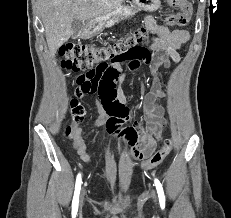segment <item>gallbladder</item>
Masks as SVG:
<instances>
[{
	"label": "gallbladder",
	"instance_id": "obj_1",
	"mask_svg": "<svg viewBox=\"0 0 231 218\" xmlns=\"http://www.w3.org/2000/svg\"><path fill=\"white\" fill-rule=\"evenodd\" d=\"M84 27V21L75 18L72 21L73 38H77Z\"/></svg>",
	"mask_w": 231,
	"mask_h": 218
}]
</instances>
